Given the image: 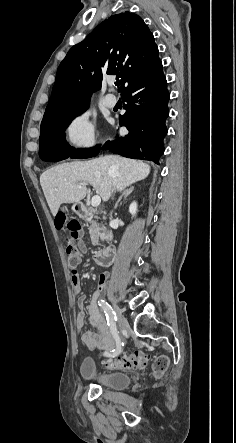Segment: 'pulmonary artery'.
<instances>
[{"instance_id":"1","label":"pulmonary artery","mask_w":236,"mask_h":443,"mask_svg":"<svg viewBox=\"0 0 236 443\" xmlns=\"http://www.w3.org/2000/svg\"><path fill=\"white\" fill-rule=\"evenodd\" d=\"M114 84H110V89H113ZM117 100L112 93H108L103 97V104L108 108H114L116 106Z\"/></svg>"}]
</instances>
